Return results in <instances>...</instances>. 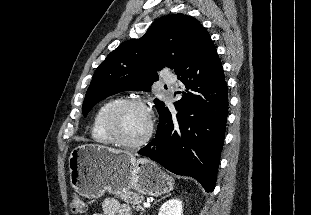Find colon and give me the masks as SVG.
Returning a JSON list of instances; mask_svg holds the SVG:
<instances>
[{
  "label": "colon",
  "instance_id": "obj_1",
  "mask_svg": "<svg viewBox=\"0 0 311 215\" xmlns=\"http://www.w3.org/2000/svg\"><path fill=\"white\" fill-rule=\"evenodd\" d=\"M71 211L75 214H83L87 210L86 202L78 195H74L71 201Z\"/></svg>",
  "mask_w": 311,
  "mask_h": 215
}]
</instances>
